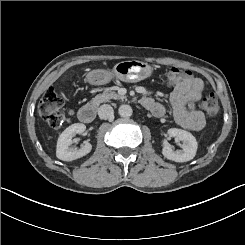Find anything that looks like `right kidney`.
Listing matches in <instances>:
<instances>
[{
  "label": "right kidney",
  "mask_w": 245,
  "mask_h": 245,
  "mask_svg": "<svg viewBox=\"0 0 245 245\" xmlns=\"http://www.w3.org/2000/svg\"><path fill=\"white\" fill-rule=\"evenodd\" d=\"M85 130V124L75 123L61 133L56 147V156L58 159L71 162L87 155L92 150V145L90 143H86L79 148L71 147L73 143L72 138L76 134L83 133Z\"/></svg>",
  "instance_id": "1"
}]
</instances>
